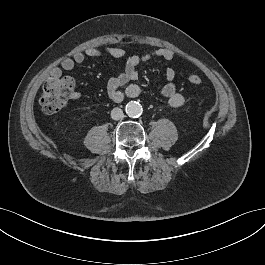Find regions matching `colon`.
Returning a JSON list of instances; mask_svg holds the SVG:
<instances>
[{"instance_id":"1","label":"colon","mask_w":265,"mask_h":265,"mask_svg":"<svg viewBox=\"0 0 265 265\" xmlns=\"http://www.w3.org/2000/svg\"><path fill=\"white\" fill-rule=\"evenodd\" d=\"M188 81L200 86L203 79L196 74H190ZM75 81L70 76H50L43 84L39 103L42 110L47 114H54L63 110L67 102L73 97Z\"/></svg>"}]
</instances>
